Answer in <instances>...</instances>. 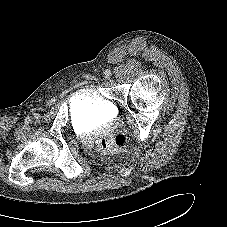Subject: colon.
Returning <instances> with one entry per match:
<instances>
[{
  "label": "colon",
  "instance_id": "1",
  "mask_svg": "<svg viewBox=\"0 0 227 227\" xmlns=\"http://www.w3.org/2000/svg\"><path fill=\"white\" fill-rule=\"evenodd\" d=\"M126 142L124 135H105L98 140L97 147L102 152H114L124 147Z\"/></svg>",
  "mask_w": 227,
  "mask_h": 227
}]
</instances>
